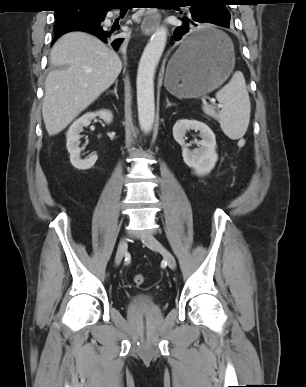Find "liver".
Wrapping results in <instances>:
<instances>
[{"mask_svg": "<svg viewBox=\"0 0 306 387\" xmlns=\"http://www.w3.org/2000/svg\"><path fill=\"white\" fill-rule=\"evenodd\" d=\"M50 61L58 69L46 78L42 115L52 136L114 83L122 62L97 37L80 31L60 37L51 49Z\"/></svg>", "mask_w": 306, "mask_h": 387, "instance_id": "6515ba94", "label": "liver"}]
</instances>
